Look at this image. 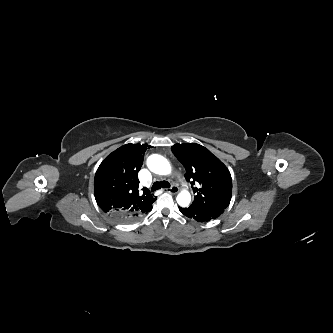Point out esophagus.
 Instances as JSON below:
<instances>
[{
  "label": "esophagus",
  "mask_w": 333,
  "mask_h": 333,
  "mask_svg": "<svg viewBox=\"0 0 333 333\" xmlns=\"http://www.w3.org/2000/svg\"><path fill=\"white\" fill-rule=\"evenodd\" d=\"M165 191L171 194H176L179 192V188L177 186H172L169 189H165Z\"/></svg>",
  "instance_id": "1"
}]
</instances>
